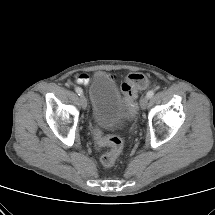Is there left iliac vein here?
<instances>
[{
	"label": "left iliac vein",
	"instance_id": "obj_1",
	"mask_svg": "<svg viewBox=\"0 0 215 215\" xmlns=\"http://www.w3.org/2000/svg\"><path fill=\"white\" fill-rule=\"evenodd\" d=\"M148 100H149V98L147 96H143L140 99V106H141L142 109H146V107L148 105Z\"/></svg>",
	"mask_w": 215,
	"mask_h": 215
}]
</instances>
